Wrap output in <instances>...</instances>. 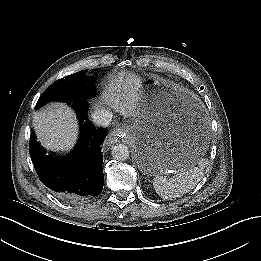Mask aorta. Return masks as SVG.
Wrapping results in <instances>:
<instances>
[{
	"label": "aorta",
	"mask_w": 261,
	"mask_h": 261,
	"mask_svg": "<svg viewBox=\"0 0 261 261\" xmlns=\"http://www.w3.org/2000/svg\"><path fill=\"white\" fill-rule=\"evenodd\" d=\"M112 155L119 161H125L129 158V149L124 144H117L112 147Z\"/></svg>",
	"instance_id": "762f6f07"
}]
</instances>
